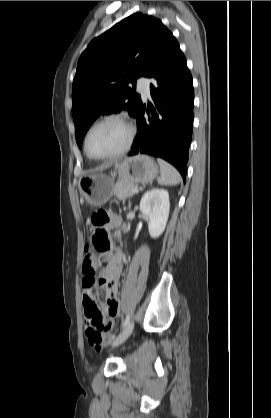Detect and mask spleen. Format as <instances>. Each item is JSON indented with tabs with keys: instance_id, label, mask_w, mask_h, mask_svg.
<instances>
[{
	"instance_id": "3e777b00",
	"label": "spleen",
	"mask_w": 271,
	"mask_h": 418,
	"mask_svg": "<svg viewBox=\"0 0 271 418\" xmlns=\"http://www.w3.org/2000/svg\"><path fill=\"white\" fill-rule=\"evenodd\" d=\"M157 161L160 166L161 172L158 183L160 185L166 186H173L179 184L181 181V176L177 169L161 158H158Z\"/></svg>"
}]
</instances>
